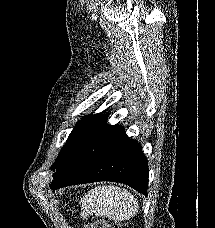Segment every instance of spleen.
<instances>
[{
  "label": "spleen",
  "instance_id": "3e777b00",
  "mask_svg": "<svg viewBox=\"0 0 215 228\" xmlns=\"http://www.w3.org/2000/svg\"><path fill=\"white\" fill-rule=\"evenodd\" d=\"M81 204L84 208L82 216H108L116 222L130 220L136 216L139 208L134 196L118 186H98L88 192Z\"/></svg>",
  "mask_w": 215,
  "mask_h": 228
}]
</instances>
